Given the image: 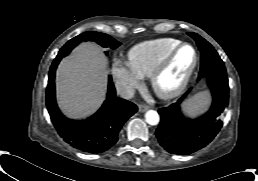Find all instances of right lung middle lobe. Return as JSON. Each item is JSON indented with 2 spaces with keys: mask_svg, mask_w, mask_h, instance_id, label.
Masks as SVG:
<instances>
[{
  "mask_svg": "<svg viewBox=\"0 0 258 181\" xmlns=\"http://www.w3.org/2000/svg\"><path fill=\"white\" fill-rule=\"evenodd\" d=\"M82 41H95L96 43L100 44L102 47H108L111 49H116L121 43L116 41L111 36L100 33V32H93V31H87L84 32L71 40H69L59 51L58 57H65L70 53V51L77 46ZM107 54V52H106Z\"/></svg>",
  "mask_w": 258,
  "mask_h": 181,
  "instance_id": "obj_1",
  "label": "right lung middle lobe"
}]
</instances>
